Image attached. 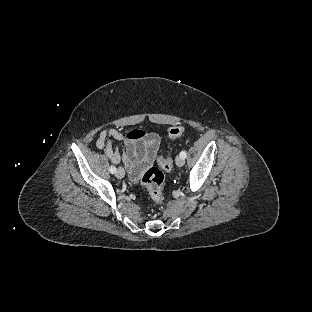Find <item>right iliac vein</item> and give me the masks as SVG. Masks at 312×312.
<instances>
[{
	"instance_id": "1",
	"label": "right iliac vein",
	"mask_w": 312,
	"mask_h": 312,
	"mask_svg": "<svg viewBox=\"0 0 312 312\" xmlns=\"http://www.w3.org/2000/svg\"><path fill=\"white\" fill-rule=\"evenodd\" d=\"M116 176L119 179H122L125 176V172L123 170V168L119 167L117 172H116Z\"/></svg>"
}]
</instances>
